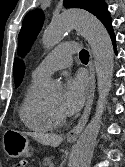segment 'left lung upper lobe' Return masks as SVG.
<instances>
[{"label": "left lung upper lobe", "mask_w": 125, "mask_h": 167, "mask_svg": "<svg viewBox=\"0 0 125 167\" xmlns=\"http://www.w3.org/2000/svg\"><path fill=\"white\" fill-rule=\"evenodd\" d=\"M63 5L66 8H82L91 12L104 26L112 22L104 0H64ZM43 20L44 15L39 9L31 11L25 16L18 36L19 55L24 56L28 52L41 30Z\"/></svg>", "instance_id": "left-lung-upper-lobe-1"}]
</instances>
